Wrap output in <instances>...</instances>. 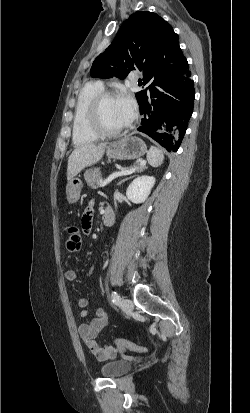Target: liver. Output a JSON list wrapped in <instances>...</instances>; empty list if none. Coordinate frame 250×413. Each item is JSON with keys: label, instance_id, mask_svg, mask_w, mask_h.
Returning <instances> with one entry per match:
<instances>
[{"label": "liver", "instance_id": "6515ba94", "mask_svg": "<svg viewBox=\"0 0 250 413\" xmlns=\"http://www.w3.org/2000/svg\"><path fill=\"white\" fill-rule=\"evenodd\" d=\"M107 143L77 146L68 159L67 180H72L84 168L96 164L104 155Z\"/></svg>", "mask_w": 250, "mask_h": 413}]
</instances>
